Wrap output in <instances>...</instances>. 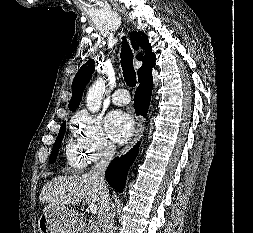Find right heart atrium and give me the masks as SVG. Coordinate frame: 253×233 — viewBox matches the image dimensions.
I'll return each instance as SVG.
<instances>
[{
  "mask_svg": "<svg viewBox=\"0 0 253 233\" xmlns=\"http://www.w3.org/2000/svg\"><path fill=\"white\" fill-rule=\"evenodd\" d=\"M73 128L88 161L98 162L113 152L114 146L105 135L98 117L81 111L74 118Z\"/></svg>",
  "mask_w": 253,
  "mask_h": 233,
  "instance_id": "d8ad5b80",
  "label": "right heart atrium"
}]
</instances>
